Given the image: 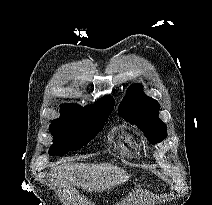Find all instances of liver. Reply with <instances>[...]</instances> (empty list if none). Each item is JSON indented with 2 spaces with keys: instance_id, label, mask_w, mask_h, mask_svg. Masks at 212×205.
Returning <instances> with one entry per match:
<instances>
[{
  "instance_id": "liver-1",
  "label": "liver",
  "mask_w": 212,
  "mask_h": 205,
  "mask_svg": "<svg viewBox=\"0 0 212 205\" xmlns=\"http://www.w3.org/2000/svg\"><path fill=\"white\" fill-rule=\"evenodd\" d=\"M51 173L60 185H65L70 181L77 187L81 186L89 191L110 189L117 184L126 182L129 178L123 170L108 164H63L54 167Z\"/></svg>"
}]
</instances>
